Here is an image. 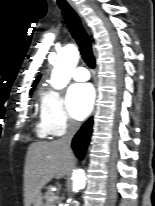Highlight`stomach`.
<instances>
[{
    "label": "stomach",
    "mask_w": 155,
    "mask_h": 206,
    "mask_svg": "<svg viewBox=\"0 0 155 206\" xmlns=\"http://www.w3.org/2000/svg\"><path fill=\"white\" fill-rule=\"evenodd\" d=\"M33 206H43L42 195L39 193L33 201Z\"/></svg>",
    "instance_id": "obj_1"
}]
</instances>
